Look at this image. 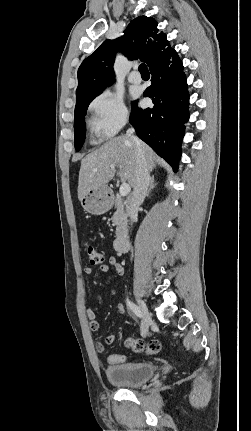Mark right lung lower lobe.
Returning a JSON list of instances; mask_svg holds the SVG:
<instances>
[{"instance_id":"1","label":"right lung lower lobe","mask_w":251,"mask_h":431,"mask_svg":"<svg viewBox=\"0 0 251 431\" xmlns=\"http://www.w3.org/2000/svg\"><path fill=\"white\" fill-rule=\"evenodd\" d=\"M183 65L174 50L164 63L150 68L152 85L145 97L152 98L153 108L141 109L132 103L129 122L139 138L177 171L181 143L188 121L189 95Z\"/></svg>"}]
</instances>
